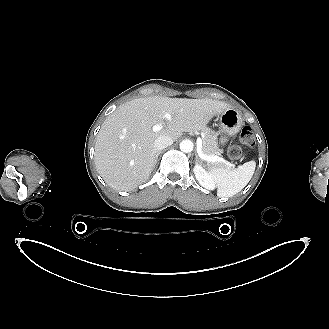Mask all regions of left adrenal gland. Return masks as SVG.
Wrapping results in <instances>:
<instances>
[{
	"label": "left adrenal gland",
	"instance_id": "left-adrenal-gland-1",
	"mask_svg": "<svg viewBox=\"0 0 329 329\" xmlns=\"http://www.w3.org/2000/svg\"><path fill=\"white\" fill-rule=\"evenodd\" d=\"M200 161H201V160H200L199 156L196 154V155H195V162L198 163V162H200Z\"/></svg>",
	"mask_w": 329,
	"mask_h": 329
}]
</instances>
